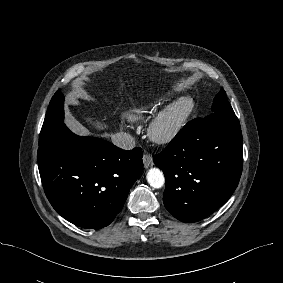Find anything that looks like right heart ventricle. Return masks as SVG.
Wrapping results in <instances>:
<instances>
[{
    "mask_svg": "<svg viewBox=\"0 0 283 283\" xmlns=\"http://www.w3.org/2000/svg\"><path fill=\"white\" fill-rule=\"evenodd\" d=\"M149 112V106L148 105H140L133 109H131L127 113L128 119L131 121H139L145 118L146 114Z\"/></svg>",
    "mask_w": 283,
    "mask_h": 283,
    "instance_id": "obj_1",
    "label": "right heart ventricle"
}]
</instances>
